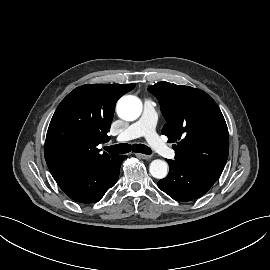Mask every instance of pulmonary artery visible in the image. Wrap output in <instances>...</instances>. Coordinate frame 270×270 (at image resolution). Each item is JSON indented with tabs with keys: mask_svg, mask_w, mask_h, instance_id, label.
Here are the masks:
<instances>
[{
	"mask_svg": "<svg viewBox=\"0 0 270 270\" xmlns=\"http://www.w3.org/2000/svg\"><path fill=\"white\" fill-rule=\"evenodd\" d=\"M156 122L155 103L150 98H145L141 118L122 131L117 136V141L124 142L144 136L157 153L166 158H173L174 151L161 140L156 132Z\"/></svg>",
	"mask_w": 270,
	"mask_h": 270,
	"instance_id": "pulmonary-artery-1",
	"label": "pulmonary artery"
}]
</instances>
